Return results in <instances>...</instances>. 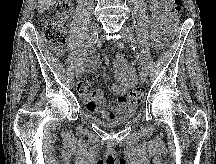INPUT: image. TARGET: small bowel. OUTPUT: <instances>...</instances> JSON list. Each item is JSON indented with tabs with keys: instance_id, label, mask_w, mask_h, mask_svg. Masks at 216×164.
I'll return each instance as SVG.
<instances>
[{
	"instance_id": "c3829d8e",
	"label": "small bowel",
	"mask_w": 216,
	"mask_h": 164,
	"mask_svg": "<svg viewBox=\"0 0 216 164\" xmlns=\"http://www.w3.org/2000/svg\"><path fill=\"white\" fill-rule=\"evenodd\" d=\"M173 0H150V26L152 42L156 48L161 46L165 35V25L168 20ZM97 59L92 56L88 59L84 70L90 72L95 68ZM114 72L117 83L111 86V92L117 100L107 103L101 90L88 91L91 79L85 78L77 84V91L87 110L101 119H112L131 109V105L124 101L126 92L137 83L136 70L133 64L128 63L122 54L114 60Z\"/></svg>"
}]
</instances>
